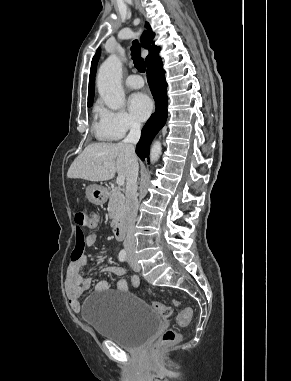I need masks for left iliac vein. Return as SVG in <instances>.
Segmentation results:
<instances>
[{
    "mask_svg": "<svg viewBox=\"0 0 291 381\" xmlns=\"http://www.w3.org/2000/svg\"><path fill=\"white\" fill-rule=\"evenodd\" d=\"M129 260L131 261L132 264V269L136 272H139L141 270L140 264L135 260L134 258L129 257Z\"/></svg>",
    "mask_w": 291,
    "mask_h": 381,
    "instance_id": "1",
    "label": "left iliac vein"
}]
</instances>
